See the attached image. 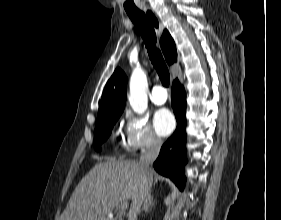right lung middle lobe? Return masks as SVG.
<instances>
[{
	"instance_id": "1",
	"label": "right lung middle lobe",
	"mask_w": 281,
	"mask_h": 220,
	"mask_svg": "<svg viewBox=\"0 0 281 220\" xmlns=\"http://www.w3.org/2000/svg\"><path fill=\"white\" fill-rule=\"evenodd\" d=\"M119 117L120 115H114L97 120L94 132V144L97 151L101 150L100 145L108 138Z\"/></svg>"
}]
</instances>
